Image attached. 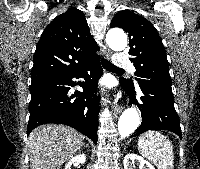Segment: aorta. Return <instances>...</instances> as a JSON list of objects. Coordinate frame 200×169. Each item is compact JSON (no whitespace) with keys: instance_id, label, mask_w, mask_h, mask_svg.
<instances>
[{"instance_id":"1","label":"aorta","mask_w":200,"mask_h":169,"mask_svg":"<svg viewBox=\"0 0 200 169\" xmlns=\"http://www.w3.org/2000/svg\"><path fill=\"white\" fill-rule=\"evenodd\" d=\"M108 46L114 51H122L127 46V37L122 31H109L106 36ZM140 125V118L135 107L123 111L118 122V131L121 138L131 135Z\"/></svg>"}]
</instances>
